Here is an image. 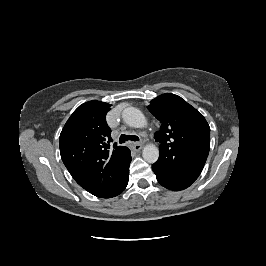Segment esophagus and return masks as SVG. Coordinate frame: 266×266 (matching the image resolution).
Wrapping results in <instances>:
<instances>
[{"mask_svg": "<svg viewBox=\"0 0 266 266\" xmlns=\"http://www.w3.org/2000/svg\"><path fill=\"white\" fill-rule=\"evenodd\" d=\"M132 148L135 151H140L142 149V144L141 143H132Z\"/></svg>", "mask_w": 266, "mask_h": 266, "instance_id": "34e87169", "label": "esophagus"}]
</instances>
